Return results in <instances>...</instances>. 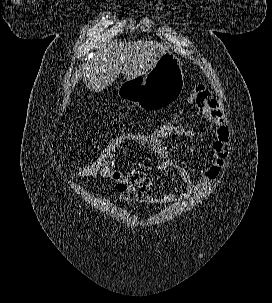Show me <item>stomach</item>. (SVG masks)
Segmentation results:
<instances>
[{
	"label": "stomach",
	"mask_w": 272,
	"mask_h": 303,
	"mask_svg": "<svg viewBox=\"0 0 272 303\" xmlns=\"http://www.w3.org/2000/svg\"><path fill=\"white\" fill-rule=\"evenodd\" d=\"M183 89L181 62L168 51L146 75L123 82L118 88V95L143 109L152 110L176 100Z\"/></svg>",
	"instance_id": "0dacf381"
}]
</instances>
